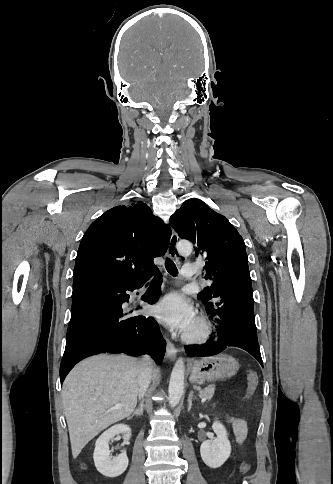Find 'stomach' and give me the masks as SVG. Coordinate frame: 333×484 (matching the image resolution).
Here are the masks:
<instances>
[{
    "label": "stomach",
    "mask_w": 333,
    "mask_h": 484,
    "mask_svg": "<svg viewBox=\"0 0 333 484\" xmlns=\"http://www.w3.org/2000/svg\"><path fill=\"white\" fill-rule=\"evenodd\" d=\"M238 369L237 360L225 353L199 358L190 363V382L201 385L225 379L235 375Z\"/></svg>",
    "instance_id": "obj_1"
}]
</instances>
